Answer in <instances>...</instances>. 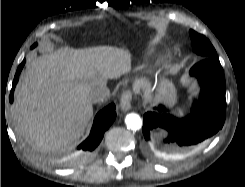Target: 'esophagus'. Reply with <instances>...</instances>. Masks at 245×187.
I'll list each match as a JSON object with an SVG mask.
<instances>
[{
    "label": "esophagus",
    "instance_id": "esophagus-1",
    "mask_svg": "<svg viewBox=\"0 0 245 187\" xmlns=\"http://www.w3.org/2000/svg\"><path fill=\"white\" fill-rule=\"evenodd\" d=\"M132 92L130 90H125L120 99V106L123 111H128L131 109Z\"/></svg>",
    "mask_w": 245,
    "mask_h": 187
}]
</instances>
